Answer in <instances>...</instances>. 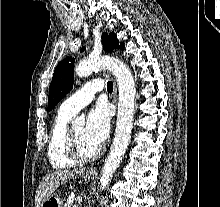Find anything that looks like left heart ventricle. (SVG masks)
Instances as JSON below:
<instances>
[{
    "mask_svg": "<svg viewBox=\"0 0 220 207\" xmlns=\"http://www.w3.org/2000/svg\"><path fill=\"white\" fill-rule=\"evenodd\" d=\"M72 131L83 155H91L98 150V147L86 137L83 126L75 127Z\"/></svg>",
    "mask_w": 220,
    "mask_h": 207,
    "instance_id": "b2bd125f",
    "label": "left heart ventricle"
}]
</instances>
